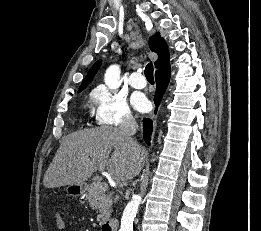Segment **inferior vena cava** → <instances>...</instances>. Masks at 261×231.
<instances>
[{
    "label": "inferior vena cava",
    "mask_w": 261,
    "mask_h": 231,
    "mask_svg": "<svg viewBox=\"0 0 261 231\" xmlns=\"http://www.w3.org/2000/svg\"><path fill=\"white\" fill-rule=\"evenodd\" d=\"M138 125L132 116H126L120 125V130L123 138L133 147H137V143L132 139V136L136 133Z\"/></svg>",
    "instance_id": "1"
}]
</instances>
